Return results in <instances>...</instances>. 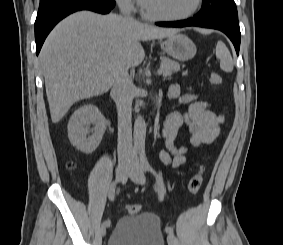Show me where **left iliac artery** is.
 <instances>
[{
	"label": "left iliac artery",
	"mask_w": 283,
	"mask_h": 245,
	"mask_svg": "<svg viewBox=\"0 0 283 245\" xmlns=\"http://www.w3.org/2000/svg\"><path fill=\"white\" fill-rule=\"evenodd\" d=\"M139 156H140V164L141 167L143 168L144 171H148L151 172L155 177H156V181H157V185H158V196L160 200H163L164 198V194H165V188H164V184H163V179L162 176L158 175L155 170L151 167V165L148 162V159L146 157V153L144 149H140L139 150ZM166 233L168 234H173L174 230L172 227L167 226L165 228Z\"/></svg>",
	"instance_id": "left-iliac-artery-1"
}]
</instances>
